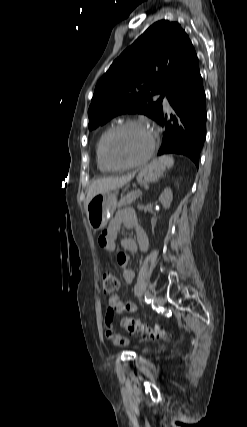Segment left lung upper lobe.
<instances>
[{"label":"left lung upper lobe","instance_id":"1","mask_svg":"<svg viewBox=\"0 0 247 427\" xmlns=\"http://www.w3.org/2000/svg\"><path fill=\"white\" fill-rule=\"evenodd\" d=\"M197 64L194 47L177 22L154 23L98 81L88 110L89 129L123 113H141L157 121L163 97ZM157 94L161 96L154 100Z\"/></svg>","mask_w":247,"mask_h":427}]
</instances>
